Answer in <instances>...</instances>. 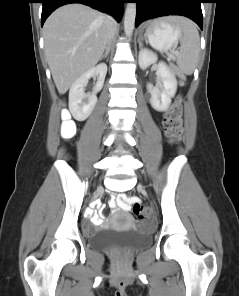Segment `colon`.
Returning a JSON list of instances; mask_svg holds the SVG:
<instances>
[{"label":"colon","instance_id":"colon-1","mask_svg":"<svg viewBox=\"0 0 239 296\" xmlns=\"http://www.w3.org/2000/svg\"><path fill=\"white\" fill-rule=\"evenodd\" d=\"M62 132L64 137L71 138L75 134L74 123L68 119V116H64ZM183 125V111H182V100L178 96L173 102L172 106L165 114L164 127L167 136L171 141H178L182 135ZM130 211L134 217L138 220H145L152 216L151 210L137 202H134L130 206Z\"/></svg>","mask_w":239,"mask_h":296}]
</instances>
